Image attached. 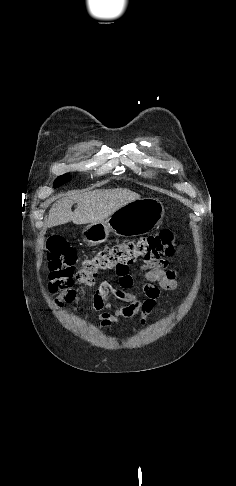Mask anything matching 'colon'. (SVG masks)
Masks as SVG:
<instances>
[{
    "instance_id": "colon-1",
    "label": "colon",
    "mask_w": 236,
    "mask_h": 486,
    "mask_svg": "<svg viewBox=\"0 0 236 486\" xmlns=\"http://www.w3.org/2000/svg\"><path fill=\"white\" fill-rule=\"evenodd\" d=\"M175 248V234L170 230H162L136 241L100 249L93 256L84 259L81 268L75 274V250L63 238L53 237L47 247L49 289L59 304L71 305L80 295V291L73 287L74 277L82 286L90 287L95 283L101 270H122L138 259L146 262L158 261L173 255Z\"/></svg>"
}]
</instances>
